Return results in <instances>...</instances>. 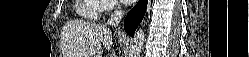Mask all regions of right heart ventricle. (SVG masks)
Here are the masks:
<instances>
[{"instance_id":"e07e8e85","label":"right heart ventricle","mask_w":249,"mask_h":57,"mask_svg":"<svg viewBox=\"0 0 249 57\" xmlns=\"http://www.w3.org/2000/svg\"><path fill=\"white\" fill-rule=\"evenodd\" d=\"M76 10L83 17L95 20L100 12V3L98 0H81Z\"/></svg>"}]
</instances>
